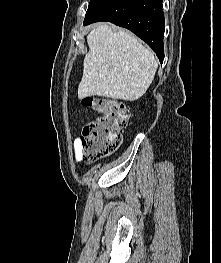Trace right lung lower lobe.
Wrapping results in <instances>:
<instances>
[{"label":"right lung lower lobe","mask_w":221,"mask_h":263,"mask_svg":"<svg viewBox=\"0 0 221 263\" xmlns=\"http://www.w3.org/2000/svg\"><path fill=\"white\" fill-rule=\"evenodd\" d=\"M162 2L163 0H110L93 17L85 19L83 24L109 21L125 27L145 41L162 63L165 31Z\"/></svg>","instance_id":"obj_1"}]
</instances>
